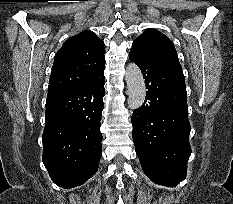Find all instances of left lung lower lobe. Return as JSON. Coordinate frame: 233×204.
Returning a JSON list of instances; mask_svg holds the SVG:
<instances>
[{"mask_svg": "<svg viewBox=\"0 0 233 204\" xmlns=\"http://www.w3.org/2000/svg\"><path fill=\"white\" fill-rule=\"evenodd\" d=\"M142 71L146 98L131 118L136 154L144 173L155 183L175 186L185 179L191 154L187 92L182 69L130 51Z\"/></svg>", "mask_w": 233, "mask_h": 204, "instance_id": "0a47b994", "label": "left lung lower lobe"}]
</instances>
